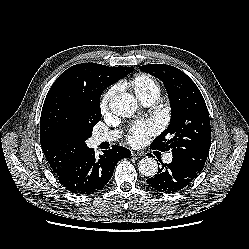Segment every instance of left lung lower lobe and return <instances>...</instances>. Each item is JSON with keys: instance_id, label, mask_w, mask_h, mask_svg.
Returning a JSON list of instances; mask_svg holds the SVG:
<instances>
[{"instance_id": "0a47b994", "label": "left lung lower lobe", "mask_w": 249, "mask_h": 249, "mask_svg": "<svg viewBox=\"0 0 249 249\" xmlns=\"http://www.w3.org/2000/svg\"><path fill=\"white\" fill-rule=\"evenodd\" d=\"M160 162L162 165L158 167L157 174L146 180L149 186L159 192L175 193L181 191L187 187L199 173L187 167L176 158H173L169 164L163 163L162 161Z\"/></svg>"}]
</instances>
